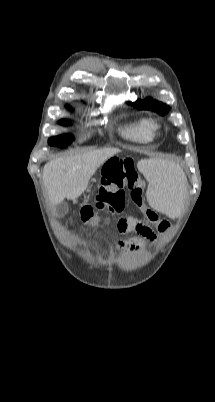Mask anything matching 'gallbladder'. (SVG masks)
I'll list each match as a JSON object with an SVG mask.
<instances>
[{"instance_id":"1","label":"gallbladder","mask_w":215,"mask_h":402,"mask_svg":"<svg viewBox=\"0 0 215 402\" xmlns=\"http://www.w3.org/2000/svg\"><path fill=\"white\" fill-rule=\"evenodd\" d=\"M68 210V206L65 203H60L57 206V211L59 214H63Z\"/></svg>"}]
</instances>
